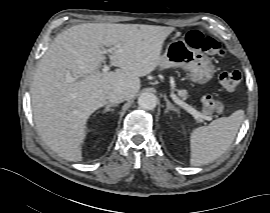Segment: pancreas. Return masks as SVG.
Segmentation results:
<instances>
[{
    "mask_svg": "<svg viewBox=\"0 0 270 213\" xmlns=\"http://www.w3.org/2000/svg\"><path fill=\"white\" fill-rule=\"evenodd\" d=\"M178 94H179L180 97H186L187 96V91L186 90H180L178 92Z\"/></svg>",
    "mask_w": 270,
    "mask_h": 213,
    "instance_id": "cf45deb5",
    "label": "pancreas"
}]
</instances>
